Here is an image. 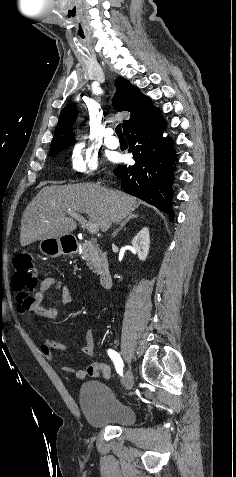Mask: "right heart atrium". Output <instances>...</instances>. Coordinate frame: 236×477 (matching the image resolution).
<instances>
[{"mask_svg": "<svg viewBox=\"0 0 236 477\" xmlns=\"http://www.w3.org/2000/svg\"><path fill=\"white\" fill-rule=\"evenodd\" d=\"M70 167L77 173L95 174L98 171L97 156L82 145H78L71 154Z\"/></svg>", "mask_w": 236, "mask_h": 477, "instance_id": "1", "label": "right heart atrium"}]
</instances>
